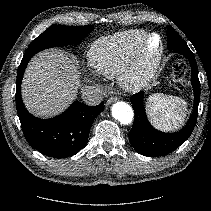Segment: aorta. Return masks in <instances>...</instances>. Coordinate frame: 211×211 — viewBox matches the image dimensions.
<instances>
[{
	"label": "aorta",
	"mask_w": 211,
	"mask_h": 211,
	"mask_svg": "<svg viewBox=\"0 0 211 211\" xmlns=\"http://www.w3.org/2000/svg\"><path fill=\"white\" fill-rule=\"evenodd\" d=\"M112 116L122 124H129L133 120L134 113L129 104L119 101L112 106Z\"/></svg>",
	"instance_id": "aorta-1"
}]
</instances>
